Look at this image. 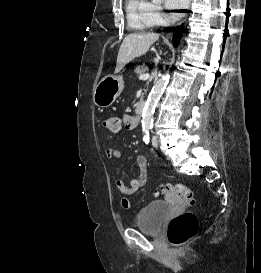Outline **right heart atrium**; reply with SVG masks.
I'll use <instances>...</instances> for the list:
<instances>
[{"label":"right heart atrium","mask_w":261,"mask_h":273,"mask_svg":"<svg viewBox=\"0 0 261 273\" xmlns=\"http://www.w3.org/2000/svg\"><path fill=\"white\" fill-rule=\"evenodd\" d=\"M152 15L156 25H161L165 21V15L161 11L159 6L153 5L152 6Z\"/></svg>","instance_id":"obj_1"}]
</instances>
